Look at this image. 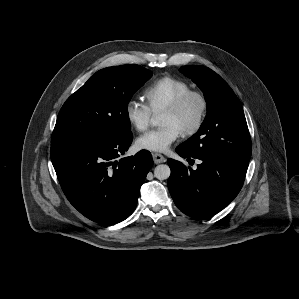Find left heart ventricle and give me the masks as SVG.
Instances as JSON below:
<instances>
[{
    "mask_svg": "<svg viewBox=\"0 0 299 299\" xmlns=\"http://www.w3.org/2000/svg\"><path fill=\"white\" fill-rule=\"evenodd\" d=\"M198 112L199 102L197 99H192L179 114L163 113L161 124L163 126L174 125L182 130L185 126L194 122Z\"/></svg>",
    "mask_w": 299,
    "mask_h": 299,
    "instance_id": "obj_1",
    "label": "left heart ventricle"
}]
</instances>
